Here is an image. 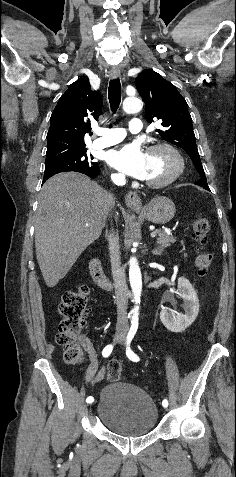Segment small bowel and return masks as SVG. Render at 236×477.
<instances>
[{
  "label": "small bowel",
  "instance_id": "small-bowel-1",
  "mask_svg": "<svg viewBox=\"0 0 236 477\" xmlns=\"http://www.w3.org/2000/svg\"><path fill=\"white\" fill-rule=\"evenodd\" d=\"M81 344L83 349L87 353L89 357V361H90V364L86 372L87 380L91 383H96L101 381L102 379H104L106 375V369L99 368L98 356L93 344L90 342L89 339L85 337L81 339Z\"/></svg>",
  "mask_w": 236,
  "mask_h": 477
}]
</instances>
